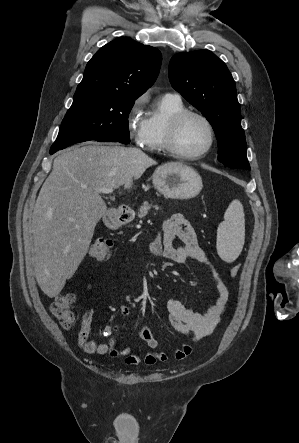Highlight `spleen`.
<instances>
[{
	"label": "spleen",
	"instance_id": "spleen-1",
	"mask_svg": "<svg viewBox=\"0 0 299 443\" xmlns=\"http://www.w3.org/2000/svg\"><path fill=\"white\" fill-rule=\"evenodd\" d=\"M245 240L244 210L239 200H233L217 230V252L225 262H233L240 255Z\"/></svg>",
	"mask_w": 299,
	"mask_h": 443
}]
</instances>
